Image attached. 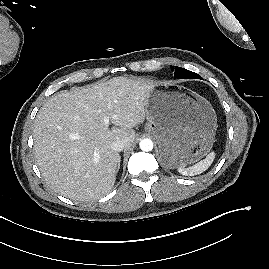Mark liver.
<instances>
[{"mask_svg":"<svg viewBox=\"0 0 269 269\" xmlns=\"http://www.w3.org/2000/svg\"><path fill=\"white\" fill-rule=\"evenodd\" d=\"M153 85L142 78L115 77L51 97L33 128L36 162L48 186L80 202L108 194L120 162L111 145L122 140L126 148L132 146V128L145 120ZM105 118L114 125L111 130Z\"/></svg>","mask_w":269,"mask_h":269,"instance_id":"obj_1","label":"liver"}]
</instances>
